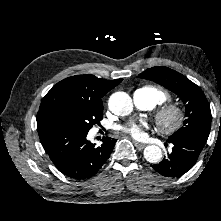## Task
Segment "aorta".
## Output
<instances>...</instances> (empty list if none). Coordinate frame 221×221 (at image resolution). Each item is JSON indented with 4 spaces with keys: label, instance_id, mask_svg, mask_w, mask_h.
Listing matches in <instances>:
<instances>
[{
    "label": "aorta",
    "instance_id": "obj_1",
    "mask_svg": "<svg viewBox=\"0 0 221 221\" xmlns=\"http://www.w3.org/2000/svg\"><path fill=\"white\" fill-rule=\"evenodd\" d=\"M110 110L118 116H125L132 112L133 103L130 96L125 92H116L109 98ZM144 158L150 163H158L162 159V151L156 145H148L144 149Z\"/></svg>",
    "mask_w": 221,
    "mask_h": 221
}]
</instances>
